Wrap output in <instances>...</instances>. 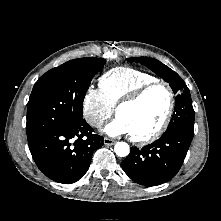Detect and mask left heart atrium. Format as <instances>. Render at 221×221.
Wrapping results in <instances>:
<instances>
[{"label":"left heart atrium","instance_id":"39dd6f15","mask_svg":"<svg viewBox=\"0 0 221 221\" xmlns=\"http://www.w3.org/2000/svg\"><path fill=\"white\" fill-rule=\"evenodd\" d=\"M104 132L109 136H118L130 133L126 124L118 116L104 128Z\"/></svg>","mask_w":221,"mask_h":221}]
</instances>
